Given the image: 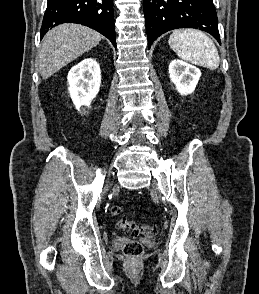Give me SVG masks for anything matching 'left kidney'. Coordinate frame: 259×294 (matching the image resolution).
Returning a JSON list of instances; mask_svg holds the SVG:
<instances>
[{
  "instance_id": "left-kidney-1",
  "label": "left kidney",
  "mask_w": 259,
  "mask_h": 294,
  "mask_svg": "<svg viewBox=\"0 0 259 294\" xmlns=\"http://www.w3.org/2000/svg\"><path fill=\"white\" fill-rule=\"evenodd\" d=\"M169 76L181 95L193 93L200 79V70L182 60L174 59L169 65Z\"/></svg>"
}]
</instances>
